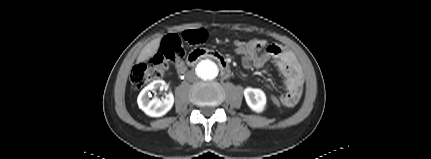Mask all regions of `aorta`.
<instances>
[{
    "mask_svg": "<svg viewBox=\"0 0 431 159\" xmlns=\"http://www.w3.org/2000/svg\"><path fill=\"white\" fill-rule=\"evenodd\" d=\"M219 69L211 60H203L196 67L198 77L204 81H211L218 76Z\"/></svg>",
    "mask_w": 431,
    "mask_h": 159,
    "instance_id": "aorta-1",
    "label": "aorta"
}]
</instances>
